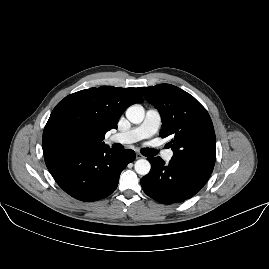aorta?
Returning <instances> with one entry per match:
<instances>
[{"label":"aorta","instance_id":"762f6f07","mask_svg":"<svg viewBox=\"0 0 269 269\" xmlns=\"http://www.w3.org/2000/svg\"><path fill=\"white\" fill-rule=\"evenodd\" d=\"M126 118L133 124H139L144 120L145 111L143 106L134 104L126 110ZM134 169L139 175H147L151 169V165L146 159H139L134 164Z\"/></svg>","mask_w":269,"mask_h":269}]
</instances>
